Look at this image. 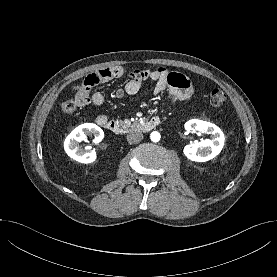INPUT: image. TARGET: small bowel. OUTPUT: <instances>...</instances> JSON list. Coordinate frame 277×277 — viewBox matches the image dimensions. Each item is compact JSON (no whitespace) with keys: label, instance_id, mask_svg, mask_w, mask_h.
<instances>
[{"label":"small bowel","instance_id":"obj_1","mask_svg":"<svg viewBox=\"0 0 277 277\" xmlns=\"http://www.w3.org/2000/svg\"><path fill=\"white\" fill-rule=\"evenodd\" d=\"M124 74L121 66L108 67L100 69L89 74L82 84L75 89V100L79 106L93 104L101 106L104 103V95L101 92H91L92 88L108 82L112 79L119 78ZM129 80L116 90L117 98L125 95H135L146 80L155 82L154 92L160 94L164 91L168 92V100L171 106L179 102L189 99L193 93V87L190 80L183 74L169 71L166 68L136 69L130 72ZM107 118L104 114L96 117V122L100 119Z\"/></svg>","mask_w":277,"mask_h":277}]
</instances>
